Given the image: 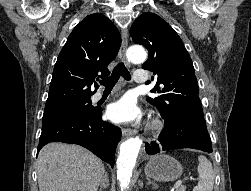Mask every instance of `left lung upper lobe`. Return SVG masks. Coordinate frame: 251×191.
Returning <instances> with one entry per match:
<instances>
[{
  "label": "left lung upper lobe",
  "mask_w": 251,
  "mask_h": 191,
  "mask_svg": "<svg viewBox=\"0 0 251 191\" xmlns=\"http://www.w3.org/2000/svg\"><path fill=\"white\" fill-rule=\"evenodd\" d=\"M130 35L134 43L149 51L142 68L153 71L157 83L151 90L156 95L147 100L156 106L165 124L184 113L203 115L192 60L174 29L158 15L147 12L135 20Z\"/></svg>",
  "instance_id": "obj_1"
}]
</instances>
